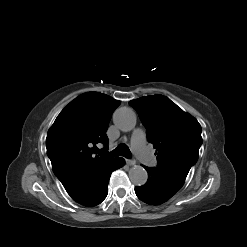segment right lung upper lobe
Wrapping results in <instances>:
<instances>
[{"label":"right lung upper lobe","mask_w":247,"mask_h":247,"mask_svg":"<svg viewBox=\"0 0 247 247\" xmlns=\"http://www.w3.org/2000/svg\"><path fill=\"white\" fill-rule=\"evenodd\" d=\"M119 105L118 100L105 94H82L60 112L49 129L47 155L66 191L115 159L107 152L106 131ZM100 143L104 149L97 148Z\"/></svg>","instance_id":"1"}]
</instances>
